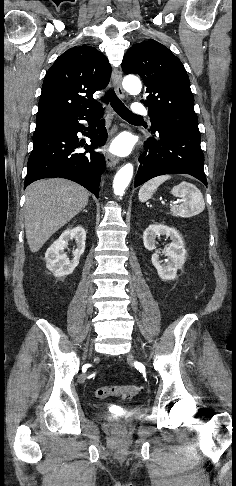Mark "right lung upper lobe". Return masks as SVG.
Masks as SVG:
<instances>
[{"label":"right lung upper lobe","instance_id":"1","mask_svg":"<svg viewBox=\"0 0 236 486\" xmlns=\"http://www.w3.org/2000/svg\"><path fill=\"white\" fill-rule=\"evenodd\" d=\"M108 59L91 46L65 51L47 71L36 123L100 107L93 94L109 82Z\"/></svg>","mask_w":236,"mask_h":486}]
</instances>
